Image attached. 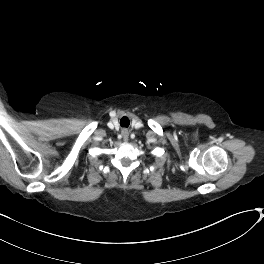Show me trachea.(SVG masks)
<instances>
[{"instance_id": "1", "label": "trachea", "mask_w": 264, "mask_h": 264, "mask_svg": "<svg viewBox=\"0 0 264 264\" xmlns=\"http://www.w3.org/2000/svg\"><path fill=\"white\" fill-rule=\"evenodd\" d=\"M123 120L125 121V124H124V125H123V122H122ZM120 123H121L122 126H126V127H128V125H129V120H128L127 118L124 117V118L121 119Z\"/></svg>"}]
</instances>
